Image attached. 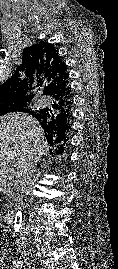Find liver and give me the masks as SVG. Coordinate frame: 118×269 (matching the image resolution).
<instances>
[{"mask_svg":"<svg viewBox=\"0 0 118 269\" xmlns=\"http://www.w3.org/2000/svg\"><path fill=\"white\" fill-rule=\"evenodd\" d=\"M48 151L42 127L33 116L16 112L0 117V176L8 173L4 170L18 171L24 161L36 164Z\"/></svg>","mask_w":118,"mask_h":269,"instance_id":"1","label":"liver"}]
</instances>
